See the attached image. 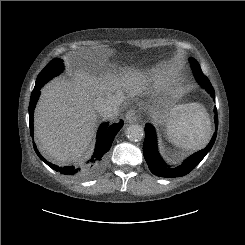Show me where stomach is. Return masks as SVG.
Listing matches in <instances>:
<instances>
[{"label":"stomach","instance_id":"obj_1","mask_svg":"<svg viewBox=\"0 0 245 245\" xmlns=\"http://www.w3.org/2000/svg\"><path fill=\"white\" fill-rule=\"evenodd\" d=\"M181 94L177 90L166 91L156 97L152 102V112L155 118L168 123L177 119L184 110L180 104Z\"/></svg>","mask_w":245,"mask_h":245}]
</instances>
